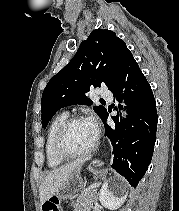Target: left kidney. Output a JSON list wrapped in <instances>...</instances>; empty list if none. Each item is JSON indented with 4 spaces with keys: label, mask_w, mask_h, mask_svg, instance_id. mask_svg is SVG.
<instances>
[{
    "label": "left kidney",
    "mask_w": 179,
    "mask_h": 211,
    "mask_svg": "<svg viewBox=\"0 0 179 211\" xmlns=\"http://www.w3.org/2000/svg\"><path fill=\"white\" fill-rule=\"evenodd\" d=\"M126 188L116 182H105L99 193L100 203L110 210L119 208L127 198Z\"/></svg>",
    "instance_id": "obj_1"
}]
</instances>
